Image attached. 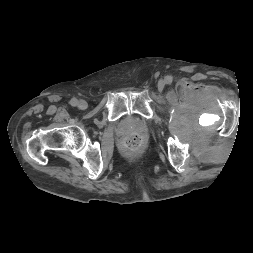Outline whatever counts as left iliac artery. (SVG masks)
Returning <instances> with one entry per match:
<instances>
[{"label": "left iliac artery", "instance_id": "1", "mask_svg": "<svg viewBox=\"0 0 253 253\" xmlns=\"http://www.w3.org/2000/svg\"><path fill=\"white\" fill-rule=\"evenodd\" d=\"M172 81V79L168 76V77H166V82L167 83H170Z\"/></svg>", "mask_w": 253, "mask_h": 253}]
</instances>
